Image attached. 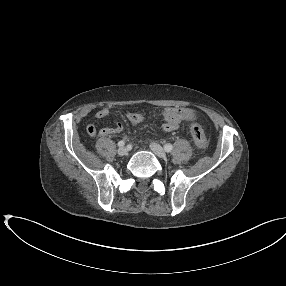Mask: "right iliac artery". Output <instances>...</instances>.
<instances>
[{
    "instance_id": "82829eb1",
    "label": "right iliac artery",
    "mask_w": 286,
    "mask_h": 286,
    "mask_svg": "<svg viewBox=\"0 0 286 286\" xmlns=\"http://www.w3.org/2000/svg\"><path fill=\"white\" fill-rule=\"evenodd\" d=\"M117 145H118L119 147H122V146L125 145V141H124V140H121V141L118 142Z\"/></svg>"
}]
</instances>
